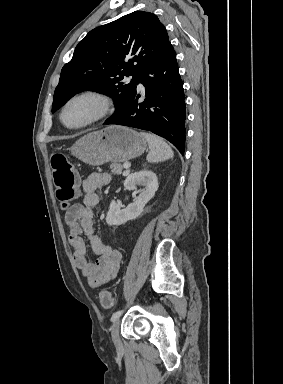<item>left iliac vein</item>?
Instances as JSON below:
<instances>
[{"label":"left iliac vein","instance_id":"1","mask_svg":"<svg viewBox=\"0 0 283 384\" xmlns=\"http://www.w3.org/2000/svg\"><path fill=\"white\" fill-rule=\"evenodd\" d=\"M119 329H120V320L116 319L112 325L111 337H112V341H113V343L117 349L122 348V342H121L120 335H119Z\"/></svg>","mask_w":283,"mask_h":384}]
</instances>
